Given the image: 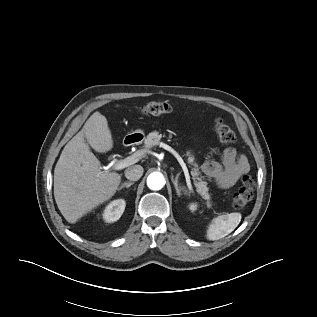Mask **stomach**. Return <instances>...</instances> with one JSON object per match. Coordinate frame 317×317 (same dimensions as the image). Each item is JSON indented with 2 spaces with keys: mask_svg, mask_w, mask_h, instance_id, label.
Returning <instances> with one entry per match:
<instances>
[{
  "mask_svg": "<svg viewBox=\"0 0 317 317\" xmlns=\"http://www.w3.org/2000/svg\"><path fill=\"white\" fill-rule=\"evenodd\" d=\"M132 134H137V137L144 136V132L141 130H135Z\"/></svg>",
  "mask_w": 317,
  "mask_h": 317,
  "instance_id": "0dacf381",
  "label": "stomach"
}]
</instances>
